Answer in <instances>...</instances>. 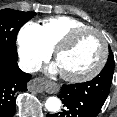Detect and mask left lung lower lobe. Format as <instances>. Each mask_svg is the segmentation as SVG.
Instances as JSON below:
<instances>
[{
  "label": "left lung lower lobe",
  "mask_w": 117,
  "mask_h": 117,
  "mask_svg": "<svg viewBox=\"0 0 117 117\" xmlns=\"http://www.w3.org/2000/svg\"><path fill=\"white\" fill-rule=\"evenodd\" d=\"M105 71L91 81L63 85L59 97L64 109L47 117H96L110 92L111 83Z\"/></svg>",
  "instance_id": "obj_1"
}]
</instances>
